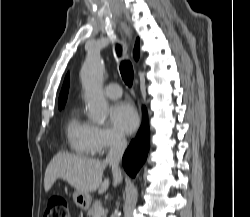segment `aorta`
Here are the masks:
<instances>
[{
  "instance_id": "762f6f07",
  "label": "aorta",
  "mask_w": 250,
  "mask_h": 217,
  "mask_svg": "<svg viewBox=\"0 0 250 217\" xmlns=\"http://www.w3.org/2000/svg\"><path fill=\"white\" fill-rule=\"evenodd\" d=\"M103 74L104 64L101 58L89 54L81 68L80 78L88 117L97 124L105 123L109 111V105L103 94Z\"/></svg>"
}]
</instances>
